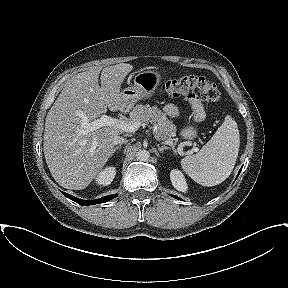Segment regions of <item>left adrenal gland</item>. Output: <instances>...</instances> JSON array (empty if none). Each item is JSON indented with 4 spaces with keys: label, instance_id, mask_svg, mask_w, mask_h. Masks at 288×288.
I'll return each instance as SVG.
<instances>
[{
    "label": "left adrenal gland",
    "instance_id": "a2214340",
    "mask_svg": "<svg viewBox=\"0 0 288 288\" xmlns=\"http://www.w3.org/2000/svg\"><path fill=\"white\" fill-rule=\"evenodd\" d=\"M158 146V151L160 152V153H163V151L164 150H170L171 148L170 147H167V146H159V145H157Z\"/></svg>",
    "mask_w": 288,
    "mask_h": 288
}]
</instances>
